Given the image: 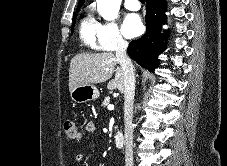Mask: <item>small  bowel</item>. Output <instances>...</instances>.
<instances>
[{
	"instance_id": "1",
	"label": "small bowel",
	"mask_w": 227,
	"mask_h": 166,
	"mask_svg": "<svg viewBox=\"0 0 227 166\" xmlns=\"http://www.w3.org/2000/svg\"><path fill=\"white\" fill-rule=\"evenodd\" d=\"M85 129L88 133L92 134L96 131V125L94 123L90 122L86 125ZM85 157H86L85 153H80V154L77 155L76 160L78 162H81L85 159Z\"/></svg>"
}]
</instances>
